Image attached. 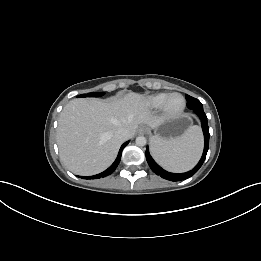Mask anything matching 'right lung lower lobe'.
Masks as SVG:
<instances>
[{
  "mask_svg": "<svg viewBox=\"0 0 261 261\" xmlns=\"http://www.w3.org/2000/svg\"><path fill=\"white\" fill-rule=\"evenodd\" d=\"M128 143H129V142H126V143H124V144L121 146L116 160L114 161V163H113L107 170H105L104 172H102V173H100V174L94 175V176H89V177L80 176V178H82V179H98V178H102V177L108 176V175H110L111 173H113V172L115 171V169L117 168V166H118L120 160H121L122 151H123V149L127 146Z\"/></svg>",
  "mask_w": 261,
  "mask_h": 261,
  "instance_id": "right-lung-lower-lobe-1",
  "label": "right lung lower lobe"
}]
</instances>
